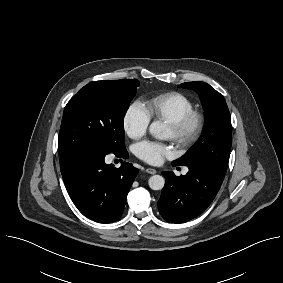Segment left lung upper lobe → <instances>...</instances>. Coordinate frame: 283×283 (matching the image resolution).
I'll return each mask as SVG.
<instances>
[{"mask_svg": "<svg viewBox=\"0 0 283 283\" xmlns=\"http://www.w3.org/2000/svg\"><path fill=\"white\" fill-rule=\"evenodd\" d=\"M182 87L193 89L201 99L206 125L202 136L176 165L205 168L218 176L225 177L232 144L230 113L224 97L204 82H186Z\"/></svg>", "mask_w": 283, "mask_h": 283, "instance_id": "5c2ea615", "label": "left lung upper lobe"}]
</instances>
